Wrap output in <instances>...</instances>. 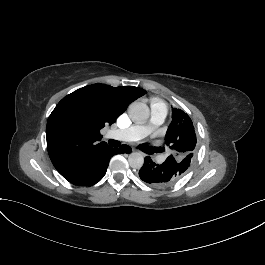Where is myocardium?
Segmentation results:
<instances>
[{
  "label": "myocardium",
  "instance_id": "obj_1",
  "mask_svg": "<svg viewBox=\"0 0 265 265\" xmlns=\"http://www.w3.org/2000/svg\"><path fill=\"white\" fill-rule=\"evenodd\" d=\"M150 108V107H149ZM150 114L153 116L152 111L150 110Z\"/></svg>",
  "mask_w": 265,
  "mask_h": 265
}]
</instances>
